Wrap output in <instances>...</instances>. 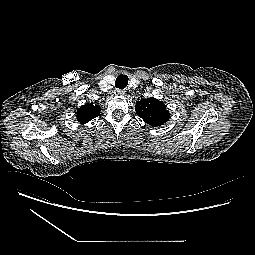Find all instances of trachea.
I'll return each instance as SVG.
<instances>
[{"label": "trachea", "mask_w": 255, "mask_h": 255, "mask_svg": "<svg viewBox=\"0 0 255 255\" xmlns=\"http://www.w3.org/2000/svg\"><path fill=\"white\" fill-rule=\"evenodd\" d=\"M128 84V77L126 75H119L115 81V87L118 89H124Z\"/></svg>", "instance_id": "trachea-1"}]
</instances>
